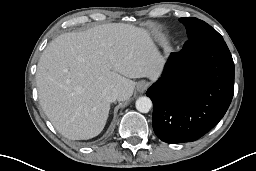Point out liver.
Returning <instances> with one entry per match:
<instances>
[{
	"instance_id": "obj_1",
	"label": "liver",
	"mask_w": 256,
	"mask_h": 171,
	"mask_svg": "<svg viewBox=\"0 0 256 171\" xmlns=\"http://www.w3.org/2000/svg\"><path fill=\"white\" fill-rule=\"evenodd\" d=\"M164 59L144 28L110 23L59 35L37 66L40 104L56 130L71 140L101 133L110 110L102 91L117 89L129 99L135 78L155 79Z\"/></svg>"
}]
</instances>
